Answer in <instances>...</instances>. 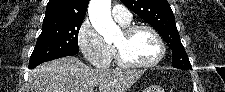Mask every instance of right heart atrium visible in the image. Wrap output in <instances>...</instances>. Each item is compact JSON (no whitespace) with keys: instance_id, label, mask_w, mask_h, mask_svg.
I'll use <instances>...</instances> for the list:
<instances>
[{"instance_id":"right-heart-atrium-1","label":"right heart atrium","mask_w":225,"mask_h":92,"mask_svg":"<svg viewBox=\"0 0 225 92\" xmlns=\"http://www.w3.org/2000/svg\"><path fill=\"white\" fill-rule=\"evenodd\" d=\"M77 43L84 57L95 67H107L113 59V48L106 43L90 20L79 27Z\"/></svg>"}]
</instances>
